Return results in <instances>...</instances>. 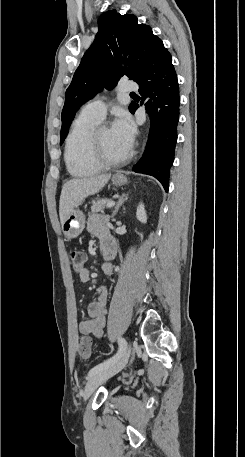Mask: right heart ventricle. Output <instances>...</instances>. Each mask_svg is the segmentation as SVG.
Segmentation results:
<instances>
[{
    "label": "right heart ventricle",
    "mask_w": 245,
    "mask_h": 457,
    "mask_svg": "<svg viewBox=\"0 0 245 457\" xmlns=\"http://www.w3.org/2000/svg\"><path fill=\"white\" fill-rule=\"evenodd\" d=\"M100 120L79 115L72 123L65 144V160L68 170L73 176H85L97 171L86 163L82 157L84 140L90 129L97 126Z\"/></svg>",
    "instance_id": "obj_1"
}]
</instances>
